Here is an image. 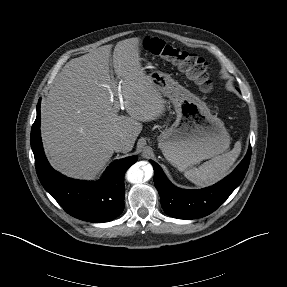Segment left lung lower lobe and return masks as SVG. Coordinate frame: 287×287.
I'll return each instance as SVG.
<instances>
[{
	"mask_svg": "<svg viewBox=\"0 0 287 287\" xmlns=\"http://www.w3.org/2000/svg\"><path fill=\"white\" fill-rule=\"evenodd\" d=\"M251 158V146L242 162L225 179L200 190L180 189L169 182L161 167H154V183L165 213L178 219H196L215 211L242 182Z\"/></svg>",
	"mask_w": 287,
	"mask_h": 287,
	"instance_id": "obj_1",
	"label": "left lung lower lobe"
}]
</instances>
